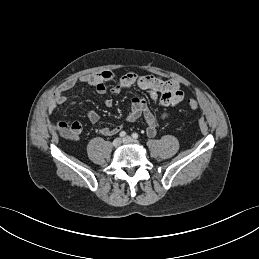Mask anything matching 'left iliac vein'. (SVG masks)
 Returning a JSON list of instances; mask_svg holds the SVG:
<instances>
[{"instance_id": "4c4485c4", "label": "left iliac vein", "mask_w": 259, "mask_h": 259, "mask_svg": "<svg viewBox=\"0 0 259 259\" xmlns=\"http://www.w3.org/2000/svg\"><path fill=\"white\" fill-rule=\"evenodd\" d=\"M123 143H137V141L135 139H133L132 137L130 136H126L124 139H123Z\"/></svg>"}]
</instances>
